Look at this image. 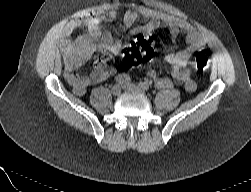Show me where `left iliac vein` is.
Instances as JSON below:
<instances>
[{
    "mask_svg": "<svg viewBox=\"0 0 251 192\" xmlns=\"http://www.w3.org/2000/svg\"><path fill=\"white\" fill-rule=\"evenodd\" d=\"M123 89L128 92H138V93H145V90H143L140 86L135 85L133 83H125L123 86Z\"/></svg>",
    "mask_w": 251,
    "mask_h": 192,
    "instance_id": "4c4485c4",
    "label": "left iliac vein"
}]
</instances>
